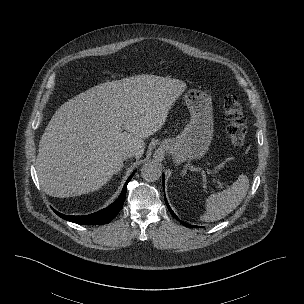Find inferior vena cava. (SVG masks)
Instances as JSON below:
<instances>
[{"mask_svg":"<svg viewBox=\"0 0 304 304\" xmlns=\"http://www.w3.org/2000/svg\"><path fill=\"white\" fill-rule=\"evenodd\" d=\"M137 155L136 151L135 150H127L124 154H123V158L124 159H127V158H132V157H135Z\"/></svg>","mask_w":304,"mask_h":304,"instance_id":"1","label":"inferior vena cava"}]
</instances>
